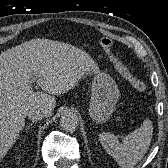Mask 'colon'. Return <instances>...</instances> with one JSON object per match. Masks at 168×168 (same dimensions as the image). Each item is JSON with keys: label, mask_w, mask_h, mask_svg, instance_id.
Returning a JSON list of instances; mask_svg holds the SVG:
<instances>
[{"label": "colon", "mask_w": 168, "mask_h": 168, "mask_svg": "<svg viewBox=\"0 0 168 168\" xmlns=\"http://www.w3.org/2000/svg\"><path fill=\"white\" fill-rule=\"evenodd\" d=\"M99 44L107 57L113 63L114 67L130 82V84L139 92L146 90L145 82L137 77L114 53L113 40L110 37H102Z\"/></svg>", "instance_id": "1"}]
</instances>
